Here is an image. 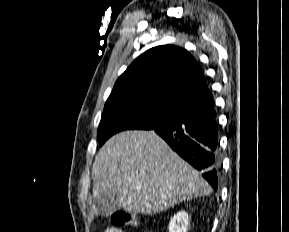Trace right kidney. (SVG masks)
<instances>
[{"instance_id": "1", "label": "right kidney", "mask_w": 289, "mask_h": 232, "mask_svg": "<svg viewBox=\"0 0 289 232\" xmlns=\"http://www.w3.org/2000/svg\"><path fill=\"white\" fill-rule=\"evenodd\" d=\"M189 225V215L185 211L175 214L169 222V232H187Z\"/></svg>"}]
</instances>
